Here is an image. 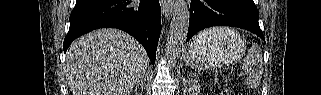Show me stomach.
<instances>
[{
    "label": "stomach",
    "mask_w": 321,
    "mask_h": 95,
    "mask_svg": "<svg viewBox=\"0 0 321 95\" xmlns=\"http://www.w3.org/2000/svg\"><path fill=\"white\" fill-rule=\"evenodd\" d=\"M245 50V40L234 30L217 40L196 36L188 45L186 61L198 69H214L239 60Z\"/></svg>",
    "instance_id": "1"
}]
</instances>
